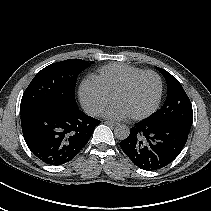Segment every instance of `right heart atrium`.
I'll use <instances>...</instances> for the list:
<instances>
[{
  "label": "right heart atrium",
  "instance_id": "1",
  "mask_svg": "<svg viewBox=\"0 0 211 211\" xmlns=\"http://www.w3.org/2000/svg\"><path fill=\"white\" fill-rule=\"evenodd\" d=\"M79 96L84 108L92 115H99L111 101V94L93 77L81 83Z\"/></svg>",
  "mask_w": 211,
  "mask_h": 211
}]
</instances>
